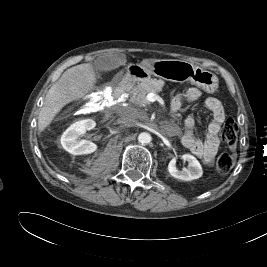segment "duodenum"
I'll return each mask as SVG.
<instances>
[{"instance_id": "1", "label": "duodenum", "mask_w": 267, "mask_h": 267, "mask_svg": "<svg viewBox=\"0 0 267 267\" xmlns=\"http://www.w3.org/2000/svg\"><path fill=\"white\" fill-rule=\"evenodd\" d=\"M137 75L136 74H130L127 75L119 84L117 89V95L118 97L124 101L126 99L127 93L130 90L133 82L135 81Z\"/></svg>"}]
</instances>
